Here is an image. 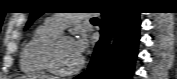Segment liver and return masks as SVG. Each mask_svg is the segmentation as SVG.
Masks as SVG:
<instances>
[{"label": "liver", "mask_w": 177, "mask_h": 79, "mask_svg": "<svg viewBox=\"0 0 177 79\" xmlns=\"http://www.w3.org/2000/svg\"><path fill=\"white\" fill-rule=\"evenodd\" d=\"M29 79H54L53 76H33L29 77Z\"/></svg>", "instance_id": "obj_1"}]
</instances>
